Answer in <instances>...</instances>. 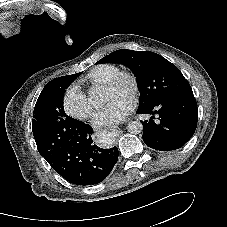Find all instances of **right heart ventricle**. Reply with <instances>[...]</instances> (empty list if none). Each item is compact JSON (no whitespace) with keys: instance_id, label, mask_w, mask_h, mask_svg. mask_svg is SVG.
Listing matches in <instances>:
<instances>
[{"instance_id":"right-heart-ventricle-1","label":"right heart ventricle","mask_w":227,"mask_h":227,"mask_svg":"<svg viewBox=\"0 0 227 227\" xmlns=\"http://www.w3.org/2000/svg\"><path fill=\"white\" fill-rule=\"evenodd\" d=\"M120 67L113 63H100L93 66L82 78V82L91 86L104 85L116 73Z\"/></svg>"}]
</instances>
